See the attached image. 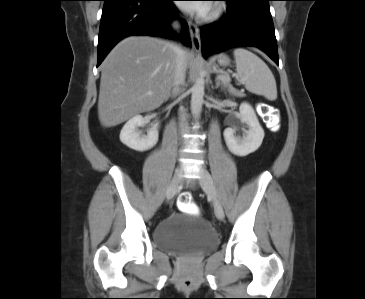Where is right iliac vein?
Segmentation results:
<instances>
[{
	"mask_svg": "<svg viewBox=\"0 0 365 299\" xmlns=\"http://www.w3.org/2000/svg\"><path fill=\"white\" fill-rule=\"evenodd\" d=\"M180 169H176L175 171V175L170 183V185L167 188V192H166V198L167 200H171L173 198V196L175 195L177 188H178V184L180 181Z\"/></svg>",
	"mask_w": 365,
	"mask_h": 299,
	"instance_id": "1",
	"label": "right iliac vein"
}]
</instances>
